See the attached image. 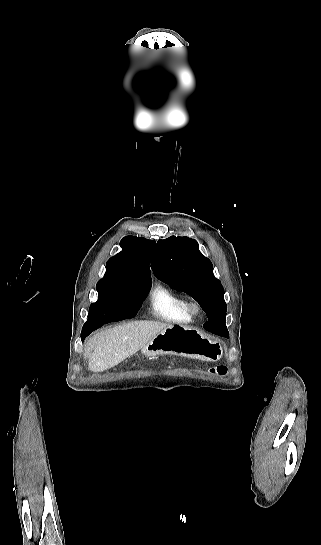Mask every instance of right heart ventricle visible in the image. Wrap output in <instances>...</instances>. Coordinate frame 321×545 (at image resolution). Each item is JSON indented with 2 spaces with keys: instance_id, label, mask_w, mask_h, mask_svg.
Returning a JSON list of instances; mask_svg holds the SVG:
<instances>
[{
  "instance_id": "right-heart-ventricle-1",
  "label": "right heart ventricle",
  "mask_w": 321,
  "mask_h": 545,
  "mask_svg": "<svg viewBox=\"0 0 321 545\" xmlns=\"http://www.w3.org/2000/svg\"><path fill=\"white\" fill-rule=\"evenodd\" d=\"M152 316L174 326H188L193 322L189 300L164 285H156L149 299Z\"/></svg>"
}]
</instances>
